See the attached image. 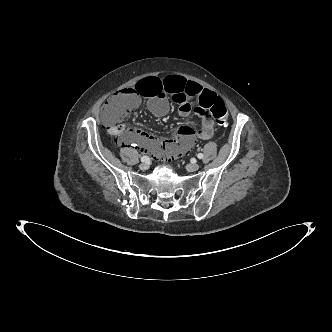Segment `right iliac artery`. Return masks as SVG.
Returning <instances> with one entry per match:
<instances>
[{"instance_id": "1", "label": "right iliac artery", "mask_w": 332, "mask_h": 332, "mask_svg": "<svg viewBox=\"0 0 332 332\" xmlns=\"http://www.w3.org/2000/svg\"><path fill=\"white\" fill-rule=\"evenodd\" d=\"M141 161L142 162H147V161H149V157L148 156H142Z\"/></svg>"}]
</instances>
